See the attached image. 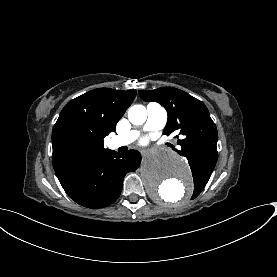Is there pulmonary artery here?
<instances>
[{"label": "pulmonary artery", "instance_id": "pulmonary-artery-1", "mask_svg": "<svg viewBox=\"0 0 277 277\" xmlns=\"http://www.w3.org/2000/svg\"><path fill=\"white\" fill-rule=\"evenodd\" d=\"M143 111L145 115V123L142 126V130H132L115 137L111 141L113 147L127 146L138 138L141 131L161 130L166 125L168 114L164 108L149 104L143 109Z\"/></svg>", "mask_w": 277, "mask_h": 277}]
</instances>
